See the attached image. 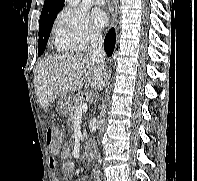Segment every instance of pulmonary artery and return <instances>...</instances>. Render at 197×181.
<instances>
[{
	"mask_svg": "<svg viewBox=\"0 0 197 181\" xmlns=\"http://www.w3.org/2000/svg\"><path fill=\"white\" fill-rule=\"evenodd\" d=\"M92 2L96 5H103L105 3V0H92Z\"/></svg>",
	"mask_w": 197,
	"mask_h": 181,
	"instance_id": "pulmonary-artery-1",
	"label": "pulmonary artery"
}]
</instances>
